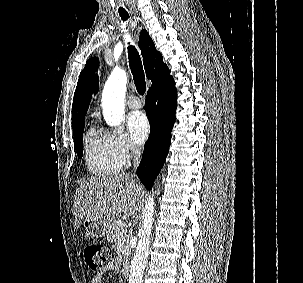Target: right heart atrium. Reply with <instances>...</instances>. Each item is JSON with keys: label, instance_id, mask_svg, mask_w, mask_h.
<instances>
[{"label": "right heart atrium", "instance_id": "right-heart-atrium-1", "mask_svg": "<svg viewBox=\"0 0 303 283\" xmlns=\"http://www.w3.org/2000/svg\"><path fill=\"white\" fill-rule=\"evenodd\" d=\"M103 138L112 155L122 166L130 163L140 153L139 147L120 131L108 130L104 132Z\"/></svg>", "mask_w": 303, "mask_h": 283}]
</instances>
